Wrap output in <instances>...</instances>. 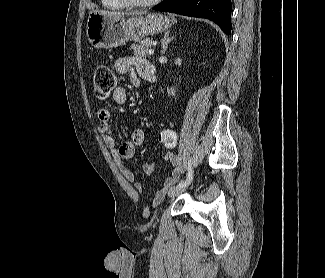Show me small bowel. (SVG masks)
<instances>
[{"label":"small bowel","instance_id":"small-bowel-1","mask_svg":"<svg viewBox=\"0 0 325 278\" xmlns=\"http://www.w3.org/2000/svg\"><path fill=\"white\" fill-rule=\"evenodd\" d=\"M149 62L140 57H120L115 61V69L119 74L130 75L132 84L135 87L140 85V78H146L145 71ZM113 100L118 105H125L127 102V93L125 88L118 87L113 93ZM99 131L102 133L103 139L107 147L110 149L117 168L123 176L130 182H135V173L129 169L124 160L132 158L138 148H140L145 140V132L142 128H137L133 131L131 139L121 143L117 142L116 137L110 131L111 113L108 108L101 107L98 109ZM170 129H164L160 132L161 135L167 134ZM177 140L176 134L173 131ZM162 160L170 163L172 166V174L166 178L162 187L156 190L155 196L161 197L165 194L167 188L177 181L179 177L178 172V158L172 151H167L163 154ZM157 161L150 160L145 163L144 171L147 174L155 173L157 169ZM135 187L138 190L143 189L140 182H135Z\"/></svg>","mask_w":325,"mask_h":278}]
</instances>
